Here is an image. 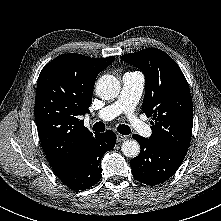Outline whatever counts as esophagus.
<instances>
[{
	"instance_id": "1",
	"label": "esophagus",
	"mask_w": 221,
	"mask_h": 221,
	"mask_svg": "<svg viewBox=\"0 0 221 221\" xmlns=\"http://www.w3.org/2000/svg\"><path fill=\"white\" fill-rule=\"evenodd\" d=\"M127 139V137L125 135H122V134H116V140L117 142H123Z\"/></svg>"
}]
</instances>
